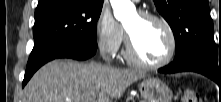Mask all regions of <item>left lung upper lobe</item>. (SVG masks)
I'll return each instance as SVG.
<instances>
[{
	"label": "left lung upper lobe",
	"mask_w": 221,
	"mask_h": 102,
	"mask_svg": "<svg viewBox=\"0 0 221 102\" xmlns=\"http://www.w3.org/2000/svg\"><path fill=\"white\" fill-rule=\"evenodd\" d=\"M154 3L173 30L174 59L195 54L221 68V49L215 46L208 0H154Z\"/></svg>",
	"instance_id": "1"
}]
</instances>
